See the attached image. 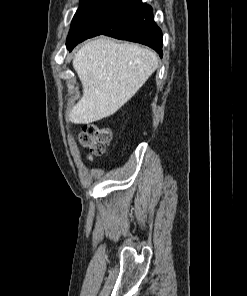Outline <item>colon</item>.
I'll list each match as a JSON object with an SVG mask.
<instances>
[{
	"instance_id": "1",
	"label": "colon",
	"mask_w": 247,
	"mask_h": 296,
	"mask_svg": "<svg viewBox=\"0 0 247 296\" xmlns=\"http://www.w3.org/2000/svg\"><path fill=\"white\" fill-rule=\"evenodd\" d=\"M110 139L111 134L108 129L99 128L94 124L84 125L79 135V140L88 149L90 158L103 155Z\"/></svg>"
}]
</instances>
